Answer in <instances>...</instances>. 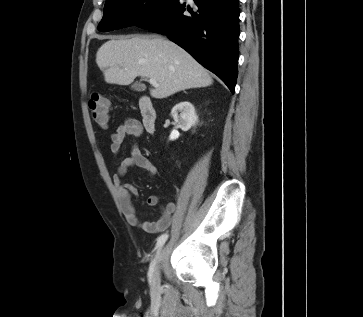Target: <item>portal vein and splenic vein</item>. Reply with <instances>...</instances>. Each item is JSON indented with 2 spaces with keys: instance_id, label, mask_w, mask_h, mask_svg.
<instances>
[{
  "instance_id": "portal-vein-and-splenic-vein-1",
  "label": "portal vein and splenic vein",
  "mask_w": 363,
  "mask_h": 317,
  "mask_svg": "<svg viewBox=\"0 0 363 317\" xmlns=\"http://www.w3.org/2000/svg\"><path fill=\"white\" fill-rule=\"evenodd\" d=\"M149 83L153 86V87H159V84L157 83V81L153 78L149 79Z\"/></svg>"
}]
</instances>
